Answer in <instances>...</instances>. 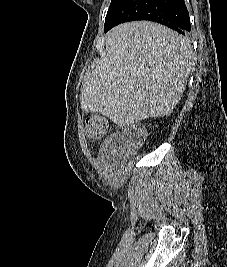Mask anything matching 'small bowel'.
Listing matches in <instances>:
<instances>
[{
  "label": "small bowel",
  "mask_w": 227,
  "mask_h": 267,
  "mask_svg": "<svg viewBox=\"0 0 227 267\" xmlns=\"http://www.w3.org/2000/svg\"><path fill=\"white\" fill-rule=\"evenodd\" d=\"M115 153V140L109 139L102 147L99 159L101 161L108 160Z\"/></svg>",
  "instance_id": "small-bowel-1"
}]
</instances>
